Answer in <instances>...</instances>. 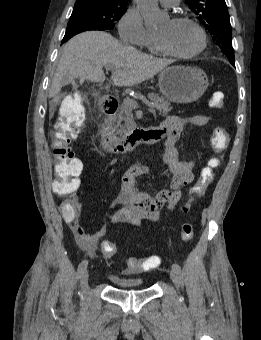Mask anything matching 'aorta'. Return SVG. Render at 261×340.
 Segmentation results:
<instances>
[{
	"instance_id": "1",
	"label": "aorta",
	"mask_w": 261,
	"mask_h": 340,
	"mask_svg": "<svg viewBox=\"0 0 261 340\" xmlns=\"http://www.w3.org/2000/svg\"><path fill=\"white\" fill-rule=\"evenodd\" d=\"M137 4L146 27L155 28L166 19V15L158 7V0H137Z\"/></svg>"
}]
</instances>
